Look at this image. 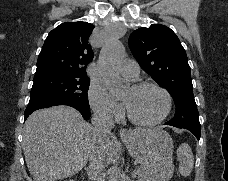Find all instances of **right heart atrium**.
<instances>
[{
    "label": "right heart atrium",
    "mask_w": 228,
    "mask_h": 181,
    "mask_svg": "<svg viewBox=\"0 0 228 181\" xmlns=\"http://www.w3.org/2000/svg\"><path fill=\"white\" fill-rule=\"evenodd\" d=\"M89 101L91 108L105 118H119L122 110L120 105L99 83H92L89 87Z\"/></svg>",
    "instance_id": "d8ad5b80"
}]
</instances>
